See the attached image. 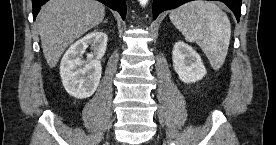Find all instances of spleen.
<instances>
[{"label":"spleen","mask_w":276,"mask_h":145,"mask_svg":"<svg viewBox=\"0 0 276 145\" xmlns=\"http://www.w3.org/2000/svg\"><path fill=\"white\" fill-rule=\"evenodd\" d=\"M169 17L185 40L196 42L212 68L219 70L227 56L231 37L226 13L211 1L195 0L172 10Z\"/></svg>","instance_id":"3e777b00"}]
</instances>
